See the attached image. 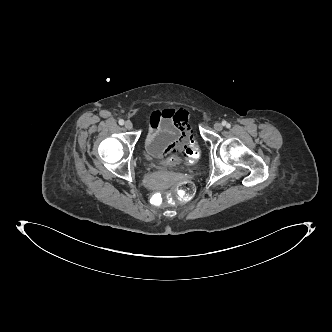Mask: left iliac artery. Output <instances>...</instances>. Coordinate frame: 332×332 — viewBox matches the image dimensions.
<instances>
[{
  "label": "left iliac artery",
  "instance_id": "obj_1",
  "mask_svg": "<svg viewBox=\"0 0 332 332\" xmlns=\"http://www.w3.org/2000/svg\"><path fill=\"white\" fill-rule=\"evenodd\" d=\"M222 124H223V126H226L227 128L230 127V124L227 123L226 121H223Z\"/></svg>",
  "mask_w": 332,
  "mask_h": 332
}]
</instances>
